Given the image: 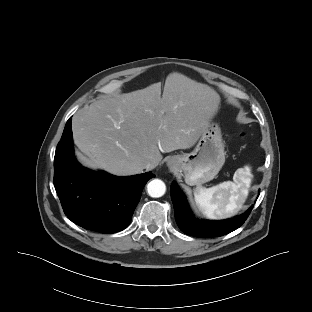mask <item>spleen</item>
<instances>
[{
  "label": "spleen",
  "mask_w": 312,
  "mask_h": 312,
  "mask_svg": "<svg viewBox=\"0 0 312 312\" xmlns=\"http://www.w3.org/2000/svg\"><path fill=\"white\" fill-rule=\"evenodd\" d=\"M249 173V168H239L233 182L225 181L211 188L197 186L194 197L199 210L210 219L227 218L237 213L248 196Z\"/></svg>",
  "instance_id": "obj_1"
}]
</instances>
